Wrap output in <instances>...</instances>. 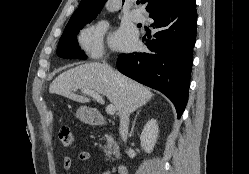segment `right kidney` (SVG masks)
<instances>
[{
    "instance_id": "obj_1",
    "label": "right kidney",
    "mask_w": 249,
    "mask_h": 174,
    "mask_svg": "<svg viewBox=\"0 0 249 174\" xmlns=\"http://www.w3.org/2000/svg\"><path fill=\"white\" fill-rule=\"evenodd\" d=\"M158 124L155 119H151L146 123L140 136L141 147L145 152L151 153L158 138Z\"/></svg>"
}]
</instances>
